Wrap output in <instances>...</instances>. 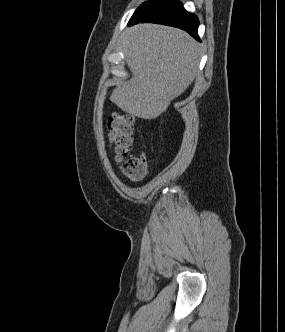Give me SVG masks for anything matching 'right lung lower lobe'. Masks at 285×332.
<instances>
[{
  "label": "right lung lower lobe",
  "instance_id": "right-lung-lower-lobe-1",
  "mask_svg": "<svg viewBox=\"0 0 285 332\" xmlns=\"http://www.w3.org/2000/svg\"><path fill=\"white\" fill-rule=\"evenodd\" d=\"M147 22L183 29L200 41L197 16L188 13L178 0H150L133 14L128 26Z\"/></svg>",
  "mask_w": 285,
  "mask_h": 332
}]
</instances>
